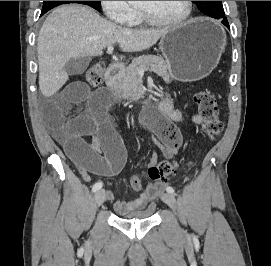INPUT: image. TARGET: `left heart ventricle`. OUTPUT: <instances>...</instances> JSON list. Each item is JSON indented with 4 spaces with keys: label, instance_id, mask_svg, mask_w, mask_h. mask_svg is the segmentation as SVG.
Masks as SVG:
<instances>
[{
    "label": "left heart ventricle",
    "instance_id": "left-heart-ventricle-1",
    "mask_svg": "<svg viewBox=\"0 0 271 266\" xmlns=\"http://www.w3.org/2000/svg\"><path fill=\"white\" fill-rule=\"evenodd\" d=\"M139 7L147 9L161 20H175L186 11L185 1H139Z\"/></svg>",
    "mask_w": 271,
    "mask_h": 266
}]
</instances>
